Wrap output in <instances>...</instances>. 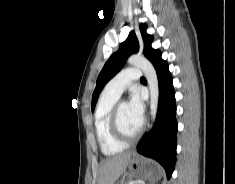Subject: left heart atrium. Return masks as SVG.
I'll use <instances>...</instances> for the list:
<instances>
[{"label":"left heart atrium","mask_w":235,"mask_h":184,"mask_svg":"<svg viewBox=\"0 0 235 184\" xmlns=\"http://www.w3.org/2000/svg\"><path fill=\"white\" fill-rule=\"evenodd\" d=\"M127 106L132 116L139 122H143L144 104L137 91L131 93Z\"/></svg>","instance_id":"1"}]
</instances>
